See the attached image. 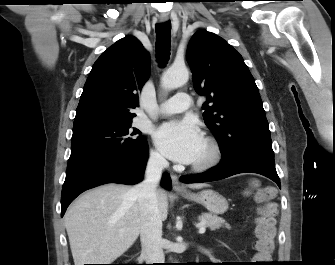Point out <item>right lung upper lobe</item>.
I'll return each instance as SVG.
<instances>
[{
  "mask_svg": "<svg viewBox=\"0 0 335 265\" xmlns=\"http://www.w3.org/2000/svg\"><path fill=\"white\" fill-rule=\"evenodd\" d=\"M150 74V57L141 42L124 37L94 63L76 109L74 127L123 122L135 116L138 92Z\"/></svg>",
  "mask_w": 335,
  "mask_h": 265,
  "instance_id": "cb5924a9",
  "label": "right lung upper lobe"
}]
</instances>
